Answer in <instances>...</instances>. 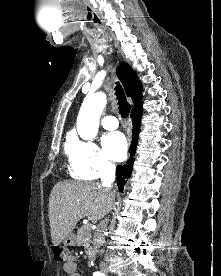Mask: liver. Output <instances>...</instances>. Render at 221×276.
Returning <instances> with one entry per match:
<instances>
[{
  "instance_id": "1",
  "label": "liver",
  "mask_w": 221,
  "mask_h": 276,
  "mask_svg": "<svg viewBox=\"0 0 221 276\" xmlns=\"http://www.w3.org/2000/svg\"><path fill=\"white\" fill-rule=\"evenodd\" d=\"M114 194L95 182L63 181L57 183L49 197L51 240L60 244L87 217L91 221L102 219Z\"/></svg>"
}]
</instances>
